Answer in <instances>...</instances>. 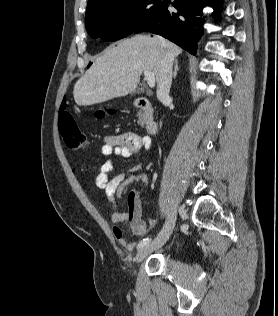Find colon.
Wrapping results in <instances>:
<instances>
[{
    "mask_svg": "<svg viewBox=\"0 0 278 316\" xmlns=\"http://www.w3.org/2000/svg\"><path fill=\"white\" fill-rule=\"evenodd\" d=\"M59 131L69 149L80 150L89 144L86 134L80 129L74 117L67 112H61L59 115Z\"/></svg>",
    "mask_w": 278,
    "mask_h": 316,
    "instance_id": "1",
    "label": "colon"
}]
</instances>
